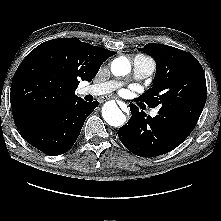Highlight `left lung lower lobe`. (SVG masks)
I'll use <instances>...</instances> for the list:
<instances>
[{
    "instance_id": "1",
    "label": "left lung lower lobe",
    "mask_w": 221,
    "mask_h": 221,
    "mask_svg": "<svg viewBox=\"0 0 221 221\" xmlns=\"http://www.w3.org/2000/svg\"><path fill=\"white\" fill-rule=\"evenodd\" d=\"M130 110L132 116L118 130V136L125 147L138 156L155 157L170 152L191 133L161 115L147 117L134 104H130Z\"/></svg>"
}]
</instances>
